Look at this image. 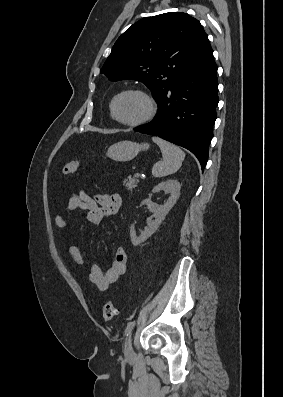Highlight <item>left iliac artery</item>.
Returning a JSON list of instances; mask_svg holds the SVG:
<instances>
[{
  "label": "left iliac artery",
  "instance_id": "44dca946",
  "mask_svg": "<svg viewBox=\"0 0 283 397\" xmlns=\"http://www.w3.org/2000/svg\"><path fill=\"white\" fill-rule=\"evenodd\" d=\"M135 325V321H131L127 324L126 329H125V335L128 336V334L130 333V331L133 329Z\"/></svg>",
  "mask_w": 283,
  "mask_h": 397
}]
</instances>
